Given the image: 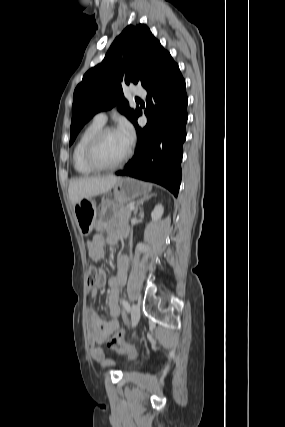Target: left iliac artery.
<instances>
[{"label":"left iliac artery","instance_id":"obj_1","mask_svg":"<svg viewBox=\"0 0 285 427\" xmlns=\"http://www.w3.org/2000/svg\"><path fill=\"white\" fill-rule=\"evenodd\" d=\"M121 304H122L123 308H124L127 312H129V311H130V305H129V303H128V301H127V300L122 299V300H121Z\"/></svg>","mask_w":285,"mask_h":427}]
</instances>
